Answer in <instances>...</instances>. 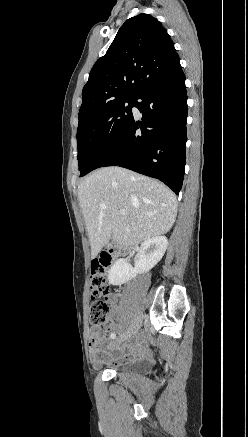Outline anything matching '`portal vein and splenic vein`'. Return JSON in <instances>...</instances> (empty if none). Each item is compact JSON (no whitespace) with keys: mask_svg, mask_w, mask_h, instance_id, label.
<instances>
[{"mask_svg":"<svg viewBox=\"0 0 248 437\" xmlns=\"http://www.w3.org/2000/svg\"><path fill=\"white\" fill-rule=\"evenodd\" d=\"M120 214H121V215H125V214H126V211H125V210H120Z\"/></svg>","mask_w":248,"mask_h":437,"instance_id":"1","label":"portal vein and splenic vein"}]
</instances>
